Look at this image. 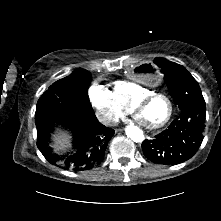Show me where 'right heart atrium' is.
<instances>
[{"label": "right heart atrium", "mask_w": 221, "mask_h": 221, "mask_svg": "<svg viewBox=\"0 0 221 221\" xmlns=\"http://www.w3.org/2000/svg\"><path fill=\"white\" fill-rule=\"evenodd\" d=\"M89 99L96 109L98 118L104 124H115L127 113V108L104 85L93 83L89 89Z\"/></svg>", "instance_id": "obj_1"}]
</instances>
